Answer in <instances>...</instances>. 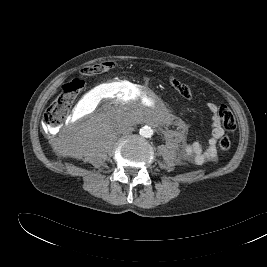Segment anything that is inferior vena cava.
I'll return each instance as SVG.
<instances>
[{
	"mask_svg": "<svg viewBox=\"0 0 267 267\" xmlns=\"http://www.w3.org/2000/svg\"><path fill=\"white\" fill-rule=\"evenodd\" d=\"M131 131H133V128L132 127H129V126H122L119 129V132H121V133H129Z\"/></svg>",
	"mask_w": 267,
	"mask_h": 267,
	"instance_id": "obj_1",
	"label": "inferior vena cava"
}]
</instances>
